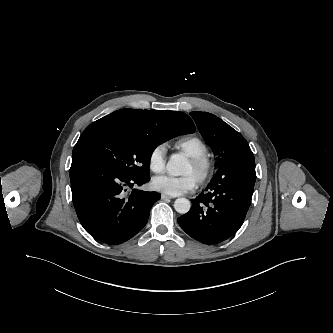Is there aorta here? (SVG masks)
Returning a JSON list of instances; mask_svg holds the SVG:
<instances>
[{
    "mask_svg": "<svg viewBox=\"0 0 333 333\" xmlns=\"http://www.w3.org/2000/svg\"><path fill=\"white\" fill-rule=\"evenodd\" d=\"M167 171L172 176H181L184 174L186 169V161L183 156L179 154H173L168 163ZM190 201L186 198H178L174 202L175 210L180 214H185L190 210Z\"/></svg>",
    "mask_w": 333,
    "mask_h": 333,
    "instance_id": "762f6f07",
    "label": "aorta"
}]
</instances>
